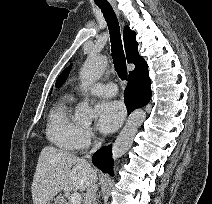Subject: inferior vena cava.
I'll return each mask as SVG.
<instances>
[{
    "mask_svg": "<svg viewBox=\"0 0 212 204\" xmlns=\"http://www.w3.org/2000/svg\"><path fill=\"white\" fill-rule=\"evenodd\" d=\"M101 147V141L95 143L89 154H86L82 160L86 162V158H90L91 154ZM97 176L94 170L91 171L89 182L86 191L85 204H96V192H97Z\"/></svg>",
    "mask_w": 212,
    "mask_h": 204,
    "instance_id": "1",
    "label": "inferior vena cava"
}]
</instances>
